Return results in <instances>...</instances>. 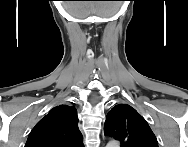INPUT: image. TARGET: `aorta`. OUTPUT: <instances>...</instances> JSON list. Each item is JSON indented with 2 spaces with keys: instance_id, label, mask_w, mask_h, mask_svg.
Returning <instances> with one entry per match:
<instances>
[{
  "instance_id": "1",
  "label": "aorta",
  "mask_w": 188,
  "mask_h": 147,
  "mask_svg": "<svg viewBox=\"0 0 188 147\" xmlns=\"http://www.w3.org/2000/svg\"><path fill=\"white\" fill-rule=\"evenodd\" d=\"M107 146L108 147H118V143L116 141H110Z\"/></svg>"
}]
</instances>
